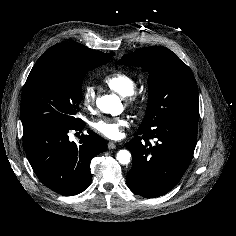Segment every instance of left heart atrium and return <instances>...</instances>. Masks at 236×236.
Wrapping results in <instances>:
<instances>
[{"label": "left heart atrium", "instance_id": "39dd6f15", "mask_svg": "<svg viewBox=\"0 0 236 236\" xmlns=\"http://www.w3.org/2000/svg\"><path fill=\"white\" fill-rule=\"evenodd\" d=\"M127 125V120L122 117L101 118L93 123V128L109 139H119Z\"/></svg>", "mask_w": 236, "mask_h": 236}]
</instances>
